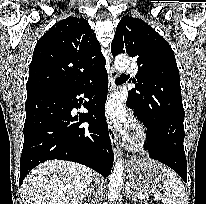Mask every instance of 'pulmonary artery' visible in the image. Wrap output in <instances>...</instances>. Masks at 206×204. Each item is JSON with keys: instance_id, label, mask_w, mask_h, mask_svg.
<instances>
[{"instance_id": "obj_1", "label": "pulmonary artery", "mask_w": 206, "mask_h": 204, "mask_svg": "<svg viewBox=\"0 0 206 204\" xmlns=\"http://www.w3.org/2000/svg\"><path fill=\"white\" fill-rule=\"evenodd\" d=\"M137 70L135 68H131L130 72L135 73Z\"/></svg>"}]
</instances>
